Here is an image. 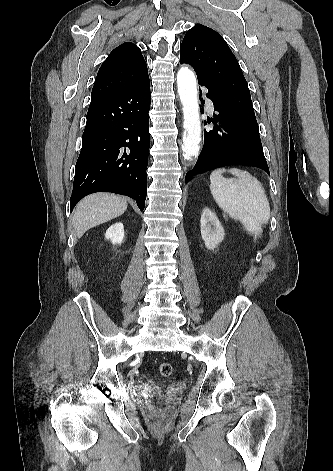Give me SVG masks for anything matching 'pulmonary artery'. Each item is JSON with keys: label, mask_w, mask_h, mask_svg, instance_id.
Listing matches in <instances>:
<instances>
[{"label": "pulmonary artery", "mask_w": 333, "mask_h": 471, "mask_svg": "<svg viewBox=\"0 0 333 471\" xmlns=\"http://www.w3.org/2000/svg\"><path fill=\"white\" fill-rule=\"evenodd\" d=\"M207 106H208L209 108H212V102H211L210 100L207 101Z\"/></svg>", "instance_id": "1"}]
</instances>
